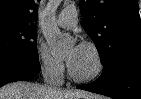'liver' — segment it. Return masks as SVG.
<instances>
[{
  "instance_id": "obj_1",
  "label": "liver",
  "mask_w": 141,
  "mask_h": 99,
  "mask_svg": "<svg viewBox=\"0 0 141 99\" xmlns=\"http://www.w3.org/2000/svg\"><path fill=\"white\" fill-rule=\"evenodd\" d=\"M0 99H97V96L83 90L66 91L18 81L0 88Z\"/></svg>"
}]
</instances>
